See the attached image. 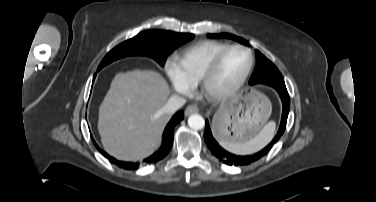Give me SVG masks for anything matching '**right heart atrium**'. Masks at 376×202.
<instances>
[{"label": "right heart atrium", "mask_w": 376, "mask_h": 202, "mask_svg": "<svg viewBox=\"0 0 376 202\" xmlns=\"http://www.w3.org/2000/svg\"><path fill=\"white\" fill-rule=\"evenodd\" d=\"M165 69L173 89L182 95H188L191 93V87L187 85L181 78L178 68L174 60L169 59L166 62Z\"/></svg>", "instance_id": "right-heart-atrium-1"}]
</instances>
